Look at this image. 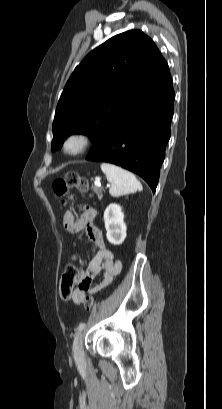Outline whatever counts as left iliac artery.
Masks as SVG:
<instances>
[{"label":"left iliac artery","mask_w":222,"mask_h":409,"mask_svg":"<svg viewBox=\"0 0 222 409\" xmlns=\"http://www.w3.org/2000/svg\"><path fill=\"white\" fill-rule=\"evenodd\" d=\"M86 324L85 323H80L78 326V331H82L85 328Z\"/></svg>","instance_id":"obj_1"}]
</instances>
